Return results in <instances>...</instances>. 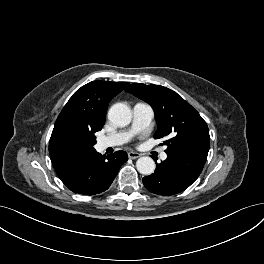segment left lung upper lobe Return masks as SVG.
I'll return each instance as SVG.
<instances>
[{
    "mask_svg": "<svg viewBox=\"0 0 264 264\" xmlns=\"http://www.w3.org/2000/svg\"><path fill=\"white\" fill-rule=\"evenodd\" d=\"M126 91L154 109L158 127L154 138H169L164 141L166 153L184 149L207 159L210 144L208 126L180 95L163 86L142 83L131 84Z\"/></svg>",
    "mask_w": 264,
    "mask_h": 264,
    "instance_id": "1",
    "label": "left lung upper lobe"
}]
</instances>
